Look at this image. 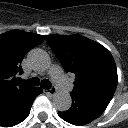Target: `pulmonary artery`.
<instances>
[{
	"label": "pulmonary artery",
	"instance_id": "pulmonary-artery-1",
	"mask_svg": "<svg viewBox=\"0 0 128 128\" xmlns=\"http://www.w3.org/2000/svg\"><path fill=\"white\" fill-rule=\"evenodd\" d=\"M51 76L55 85L61 91L67 92L68 90L71 89V84L68 81V79L63 75L60 67L58 66L53 67V69L51 70Z\"/></svg>",
	"mask_w": 128,
	"mask_h": 128
}]
</instances>
